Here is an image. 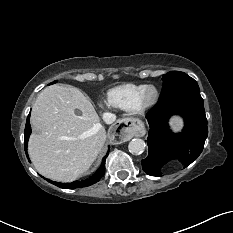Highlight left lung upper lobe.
Here are the masks:
<instances>
[{
    "label": "left lung upper lobe",
    "instance_id": "left-lung-upper-lobe-1",
    "mask_svg": "<svg viewBox=\"0 0 233 233\" xmlns=\"http://www.w3.org/2000/svg\"><path fill=\"white\" fill-rule=\"evenodd\" d=\"M163 90L161 100L185 89H199L197 82L187 74L179 71H170L163 75Z\"/></svg>",
    "mask_w": 233,
    "mask_h": 233
}]
</instances>
